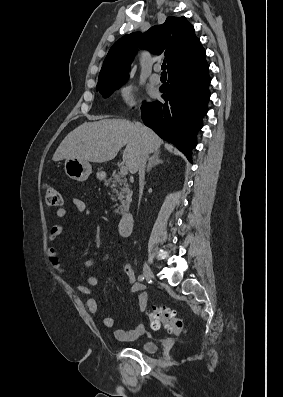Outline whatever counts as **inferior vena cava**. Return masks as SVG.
<instances>
[{"label": "inferior vena cava", "mask_w": 283, "mask_h": 397, "mask_svg": "<svg viewBox=\"0 0 283 397\" xmlns=\"http://www.w3.org/2000/svg\"><path fill=\"white\" fill-rule=\"evenodd\" d=\"M136 127L142 131L143 135H144V131L141 127V124L136 122L135 123ZM148 158V154L146 151L142 152L139 161H138V170H139V180H140V196H142L143 193V180H144V176H145V166H146V161Z\"/></svg>", "instance_id": "602c4592"}]
</instances>
